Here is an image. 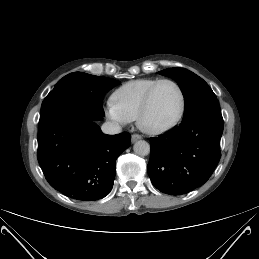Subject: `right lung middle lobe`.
I'll list each match as a JSON object with an SVG mask.
<instances>
[{"label": "right lung middle lobe", "mask_w": 259, "mask_h": 259, "mask_svg": "<svg viewBox=\"0 0 259 259\" xmlns=\"http://www.w3.org/2000/svg\"><path fill=\"white\" fill-rule=\"evenodd\" d=\"M119 84L120 82L114 79L83 72H73L64 76L44 99L39 125L63 116L102 120L103 96Z\"/></svg>", "instance_id": "dd1d6c3e"}]
</instances>
